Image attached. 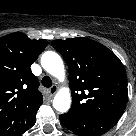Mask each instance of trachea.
Segmentation results:
<instances>
[{
  "label": "trachea",
  "mask_w": 136,
  "mask_h": 136,
  "mask_svg": "<svg viewBox=\"0 0 136 136\" xmlns=\"http://www.w3.org/2000/svg\"><path fill=\"white\" fill-rule=\"evenodd\" d=\"M42 85H43L44 87H46V88L51 87V85H52V80H51V78H50L49 76H44V77L42 78Z\"/></svg>",
  "instance_id": "3493384b"
}]
</instances>
